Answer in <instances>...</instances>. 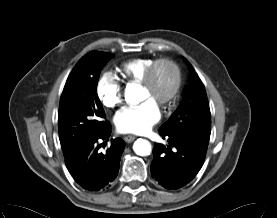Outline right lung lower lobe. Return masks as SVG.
<instances>
[{
  "instance_id": "right-lung-lower-lobe-1",
  "label": "right lung lower lobe",
  "mask_w": 277,
  "mask_h": 218,
  "mask_svg": "<svg viewBox=\"0 0 277 218\" xmlns=\"http://www.w3.org/2000/svg\"><path fill=\"white\" fill-rule=\"evenodd\" d=\"M111 133V125L100 135L77 147L65 156L66 166L75 181L86 190H101L110 186L119 171L125 142L113 139L109 148L102 151Z\"/></svg>"
}]
</instances>
